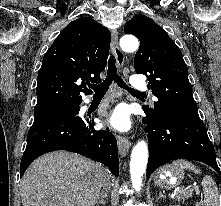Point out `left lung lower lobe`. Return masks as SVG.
Listing matches in <instances>:
<instances>
[{
    "label": "left lung lower lobe",
    "instance_id": "1",
    "mask_svg": "<svg viewBox=\"0 0 221 206\" xmlns=\"http://www.w3.org/2000/svg\"><path fill=\"white\" fill-rule=\"evenodd\" d=\"M143 110L149 143L147 177L161 165L181 158L201 161L221 174L214 147L200 118L155 119L144 107Z\"/></svg>",
    "mask_w": 221,
    "mask_h": 206
}]
</instances>
